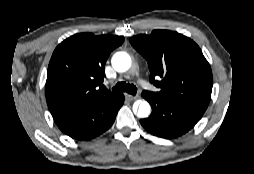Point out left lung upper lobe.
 <instances>
[{
    "instance_id": "5c2ea615",
    "label": "left lung upper lobe",
    "mask_w": 254,
    "mask_h": 174,
    "mask_svg": "<svg viewBox=\"0 0 254 174\" xmlns=\"http://www.w3.org/2000/svg\"><path fill=\"white\" fill-rule=\"evenodd\" d=\"M130 43L147 60L150 82L161 89L146 93L205 112L213 78L209 63L194 41L174 31L154 30L150 35L130 38Z\"/></svg>"
}]
</instances>
